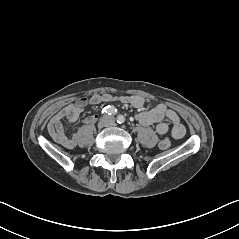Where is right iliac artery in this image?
I'll return each instance as SVG.
<instances>
[{
  "label": "right iliac artery",
  "instance_id": "82829eb1",
  "mask_svg": "<svg viewBox=\"0 0 239 239\" xmlns=\"http://www.w3.org/2000/svg\"><path fill=\"white\" fill-rule=\"evenodd\" d=\"M102 113L107 115H115L117 113V109L114 106L109 105L102 110Z\"/></svg>",
  "mask_w": 239,
  "mask_h": 239
}]
</instances>
